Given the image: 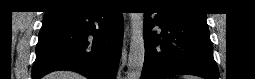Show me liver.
Listing matches in <instances>:
<instances>
[{"label":"liver","mask_w":255,"mask_h":79,"mask_svg":"<svg viewBox=\"0 0 255 79\" xmlns=\"http://www.w3.org/2000/svg\"><path fill=\"white\" fill-rule=\"evenodd\" d=\"M45 79H85L82 75L70 71H57L45 77Z\"/></svg>","instance_id":"1"}]
</instances>
